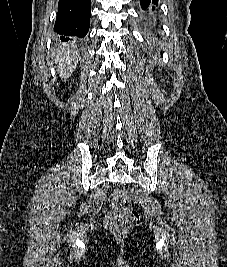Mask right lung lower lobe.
<instances>
[{"instance_id":"obj_1","label":"right lung lower lobe","mask_w":227,"mask_h":267,"mask_svg":"<svg viewBox=\"0 0 227 267\" xmlns=\"http://www.w3.org/2000/svg\"><path fill=\"white\" fill-rule=\"evenodd\" d=\"M91 0H59L54 31L62 42L80 43L90 26Z\"/></svg>"}]
</instances>
